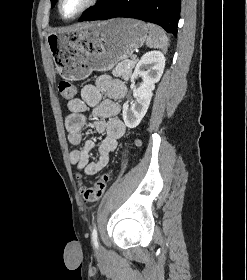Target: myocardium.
I'll return each instance as SVG.
<instances>
[{"label": "myocardium", "instance_id": "obj_1", "mask_svg": "<svg viewBox=\"0 0 247 280\" xmlns=\"http://www.w3.org/2000/svg\"><path fill=\"white\" fill-rule=\"evenodd\" d=\"M63 1L64 0H58L57 12H58L59 16L61 17V19L65 20V21H72V20H75V19L79 18L81 15H83L85 12H87L89 9L94 7L99 2V0H87L85 5L77 13H75L73 16L64 17L62 15V11H61Z\"/></svg>", "mask_w": 247, "mask_h": 280}]
</instances>
